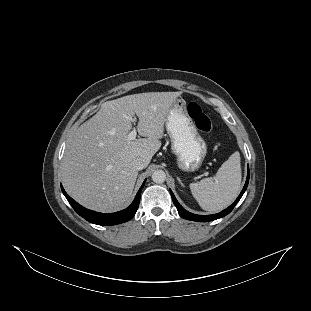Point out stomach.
<instances>
[{
  "label": "stomach",
  "instance_id": "1",
  "mask_svg": "<svg viewBox=\"0 0 311 311\" xmlns=\"http://www.w3.org/2000/svg\"><path fill=\"white\" fill-rule=\"evenodd\" d=\"M165 128L171 140V150L177 166L184 172H194L207 154V144L189 116L186 101L177 98L166 116Z\"/></svg>",
  "mask_w": 311,
  "mask_h": 311
}]
</instances>
